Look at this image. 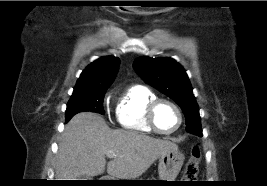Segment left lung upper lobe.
Segmentation results:
<instances>
[{
	"mask_svg": "<svg viewBox=\"0 0 267 186\" xmlns=\"http://www.w3.org/2000/svg\"><path fill=\"white\" fill-rule=\"evenodd\" d=\"M133 67L146 83L166 94L181 107L186 118V130L202 136L198 105L183 67L169 57H140L134 61Z\"/></svg>",
	"mask_w": 267,
	"mask_h": 186,
	"instance_id": "1",
	"label": "left lung upper lobe"
}]
</instances>
